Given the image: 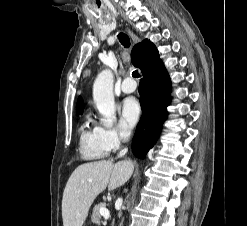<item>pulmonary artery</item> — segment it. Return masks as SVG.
I'll return each instance as SVG.
<instances>
[{
	"instance_id": "obj_1",
	"label": "pulmonary artery",
	"mask_w": 247,
	"mask_h": 226,
	"mask_svg": "<svg viewBox=\"0 0 247 226\" xmlns=\"http://www.w3.org/2000/svg\"><path fill=\"white\" fill-rule=\"evenodd\" d=\"M136 88H137V84L131 78H125L121 84V91L125 94L134 92Z\"/></svg>"
}]
</instances>
